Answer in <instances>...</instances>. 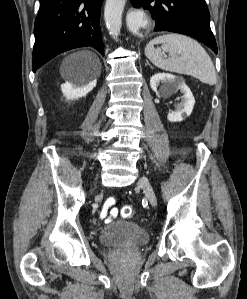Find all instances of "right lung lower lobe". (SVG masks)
I'll list each match as a JSON object with an SVG mask.
<instances>
[{"label":"right lung lower lobe","mask_w":247,"mask_h":299,"mask_svg":"<svg viewBox=\"0 0 247 299\" xmlns=\"http://www.w3.org/2000/svg\"><path fill=\"white\" fill-rule=\"evenodd\" d=\"M103 0H40L35 20L32 66L73 48L91 46L104 56L100 30Z\"/></svg>","instance_id":"1"}]
</instances>
